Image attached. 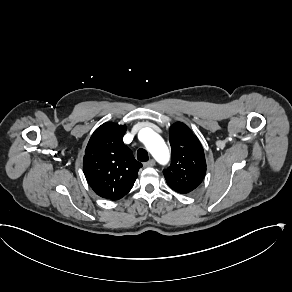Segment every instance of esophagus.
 <instances>
[{
    "label": "esophagus",
    "instance_id": "34e87169",
    "mask_svg": "<svg viewBox=\"0 0 292 292\" xmlns=\"http://www.w3.org/2000/svg\"><path fill=\"white\" fill-rule=\"evenodd\" d=\"M155 165V161L153 159L149 160L148 162L144 163L145 167H152Z\"/></svg>",
    "mask_w": 292,
    "mask_h": 292
}]
</instances>
